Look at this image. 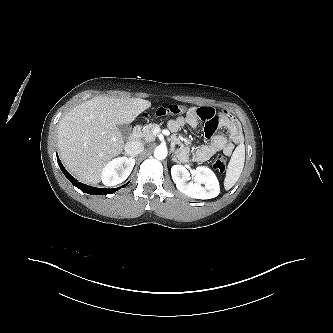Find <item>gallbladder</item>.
<instances>
[{
	"label": "gallbladder",
	"instance_id": "bac80fb5",
	"mask_svg": "<svg viewBox=\"0 0 333 333\" xmlns=\"http://www.w3.org/2000/svg\"><path fill=\"white\" fill-rule=\"evenodd\" d=\"M117 128L123 136H127L130 133V126L128 124H118Z\"/></svg>",
	"mask_w": 333,
	"mask_h": 333
}]
</instances>
